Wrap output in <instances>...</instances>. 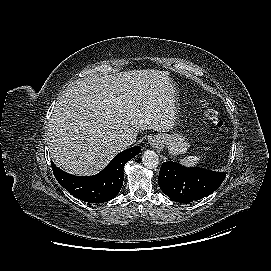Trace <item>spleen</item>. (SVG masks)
Here are the masks:
<instances>
[{"label": "spleen", "instance_id": "3e777b00", "mask_svg": "<svg viewBox=\"0 0 271 271\" xmlns=\"http://www.w3.org/2000/svg\"><path fill=\"white\" fill-rule=\"evenodd\" d=\"M201 158L200 156H188L180 159V162L186 167H193L199 164Z\"/></svg>", "mask_w": 271, "mask_h": 271}]
</instances>
